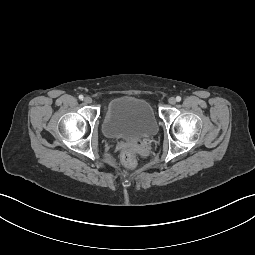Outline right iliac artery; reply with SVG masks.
Instances as JSON below:
<instances>
[{
	"instance_id": "right-iliac-artery-1",
	"label": "right iliac artery",
	"mask_w": 255,
	"mask_h": 255,
	"mask_svg": "<svg viewBox=\"0 0 255 255\" xmlns=\"http://www.w3.org/2000/svg\"><path fill=\"white\" fill-rule=\"evenodd\" d=\"M83 98H84L83 95H79L80 100H83Z\"/></svg>"
}]
</instances>
